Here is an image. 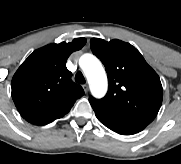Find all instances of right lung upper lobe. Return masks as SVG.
Returning a JSON list of instances; mask_svg holds the SVG:
<instances>
[{"instance_id":"obj_1","label":"right lung upper lobe","mask_w":181,"mask_h":164,"mask_svg":"<svg viewBox=\"0 0 181 164\" xmlns=\"http://www.w3.org/2000/svg\"><path fill=\"white\" fill-rule=\"evenodd\" d=\"M85 38L51 44L35 50L13 76L12 98L21 116L34 125H46L69 112L84 94L72 82L66 61L80 50Z\"/></svg>"}]
</instances>
